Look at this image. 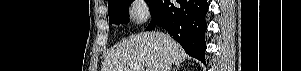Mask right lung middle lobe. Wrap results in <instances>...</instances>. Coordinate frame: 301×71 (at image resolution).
<instances>
[{
	"instance_id": "right-lung-middle-lobe-1",
	"label": "right lung middle lobe",
	"mask_w": 301,
	"mask_h": 71,
	"mask_svg": "<svg viewBox=\"0 0 301 71\" xmlns=\"http://www.w3.org/2000/svg\"><path fill=\"white\" fill-rule=\"evenodd\" d=\"M134 0H111L108 2V15L110 24L127 23V10ZM150 7L153 8L156 0H148Z\"/></svg>"
}]
</instances>
